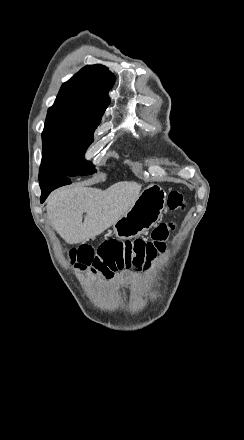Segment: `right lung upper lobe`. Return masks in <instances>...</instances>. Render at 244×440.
<instances>
[{
	"label": "right lung upper lobe",
	"mask_w": 244,
	"mask_h": 440,
	"mask_svg": "<svg viewBox=\"0 0 244 440\" xmlns=\"http://www.w3.org/2000/svg\"><path fill=\"white\" fill-rule=\"evenodd\" d=\"M115 76L103 65H87L64 83L54 105H71L103 110L110 99L107 95Z\"/></svg>",
	"instance_id": "obj_1"
}]
</instances>
